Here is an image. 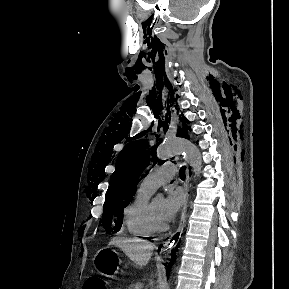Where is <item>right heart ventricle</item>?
<instances>
[{"label": "right heart ventricle", "mask_w": 289, "mask_h": 289, "mask_svg": "<svg viewBox=\"0 0 289 289\" xmlns=\"http://www.w3.org/2000/svg\"><path fill=\"white\" fill-rule=\"evenodd\" d=\"M150 195L151 192L138 189L124 211L126 228L135 237H151L156 233L148 218Z\"/></svg>", "instance_id": "obj_1"}]
</instances>
